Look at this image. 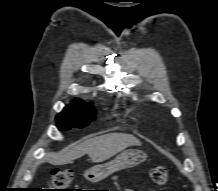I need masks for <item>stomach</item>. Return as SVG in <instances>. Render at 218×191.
Wrapping results in <instances>:
<instances>
[{"label": "stomach", "mask_w": 218, "mask_h": 191, "mask_svg": "<svg viewBox=\"0 0 218 191\" xmlns=\"http://www.w3.org/2000/svg\"><path fill=\"white\" fill-rule=\"evenodd\" d=\"M146 159V155L138 150H126L116 156L110 162L95 165L84 173V177L90 182H99L110 174L134 167L142 163Z\"/></svg>", "instance_id": "1"}]
</instances>
